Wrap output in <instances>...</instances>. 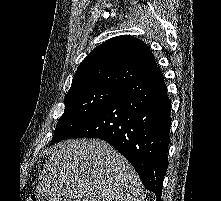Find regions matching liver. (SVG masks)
<instances>
[{"mask_svg":"<svg viewBox=\"0 0 221 201\" xmlns=\"http://www.w3.org/2000/svg\"><path fill=\"white\" fill-rule=\"evenodd\" d=\"M38 195L49 201H144L145 197L128 160L97 139L55 146L40 176Z\"/></svg>","mask_w":221,"mask_h":201,"instance_id":"liver-1","label":"liver"}]
</instances>
